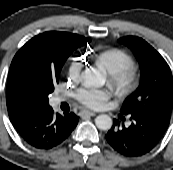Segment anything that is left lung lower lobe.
I'll return each instance as SVG.
<instances>
[{
  "label": "left lung lower lobe",
  "instance_id": "0a47b994",
  "mask_svg": "<svg viewBox=\"0 0 173 170\" xmlns=\"http://www.w3.org/2000/svg\"><path fill=\"white\" fill-rule=\"evenodd\" d=\"M129 127H119L114 120L112 128L106 134L109 145L122 155L141 156L152 150L163 138L169 125L149 116L128 115Z\"/></svg>",
  "mask_w": 173,
  "mask_h": 170
}]
</instances>
